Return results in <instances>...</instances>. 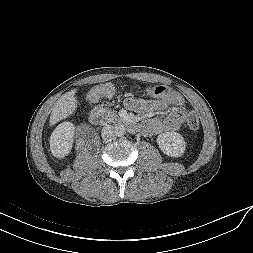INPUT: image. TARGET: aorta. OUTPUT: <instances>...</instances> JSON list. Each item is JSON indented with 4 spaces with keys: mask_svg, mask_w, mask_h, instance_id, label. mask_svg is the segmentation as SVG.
Here are the masks:
<instances>
[{
    "mask_svg": "<svg viewBox=\"0 0 253 253\" xmlns=\"http://www.w3.org/2000/svg\"><path fill=\"white\" fill-rule=\"evenodd\" d=\"M114 133H115V136H117V137L123 136L125 133L124 125H122V124L115 125L114 126Z\"/></svg>",
    "mask_w": 253,
    "mask_h": 253,
    "instance_id": "762f6f07",
    "label": "aorta"
}]
</instances>
